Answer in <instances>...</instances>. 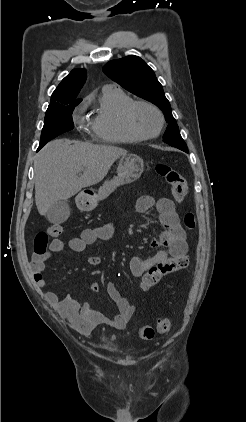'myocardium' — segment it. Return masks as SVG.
Instances as JSON below:
<instances>
[{
	"mask_svg": "<svg viewBox=\"0 0 246 422\" xmlns=\"http://www.w3.org/2000/svg\"><path fill=\"white\" fill-rule=\"evenodd\" d=\"M139 106L149 107L154 110L158 115L159 126L155 132L147 134L139 130L136 126L134 122V112ZM123 121L128 131L140 140H149L157 137L162 132L165 126V117L161 109L155 104L145 100H137L131 102L123 111Z\"/></svg>",
	"mask_w": 246,
	"mask_h": 422,
	"instance_id": "1",
	"label": "myocardium"
}]
</instances>
